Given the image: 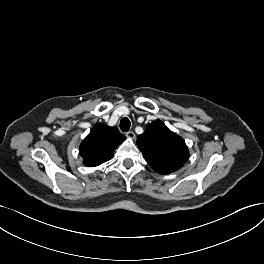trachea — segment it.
I'll list each match as a JSON object with an SVG mask.
<instances>
[{
  "mask_svg": "<svg viewBox=\"0 0 264 264\" xmlns=\"http://www.w3.org/2000/svg\"><path fill=\"white\" fill-rule=\"evenodd\" d=\"M131 123L127 117H123L120 121V129L123 132H127L130 129Z\"/></svg>",
  "mask_w": 264,
  "mask_h": 264,
  "instance_id": "1",
  "label": "trachea"
}]
</instances>
